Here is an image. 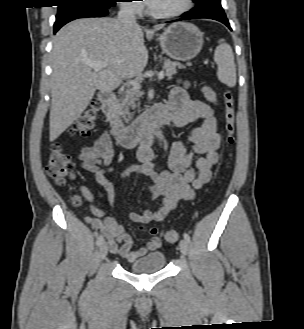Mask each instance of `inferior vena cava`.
Masks as SVG:
<instances>
[{
  "mask_svg": "<svg viewBox=\"0 0 304 329\" xmlns=\"http://www.w3.org/2000/svg\"><path fill=\"white\" fill-rule=\"evenodd\" d=\"M118 21L124 26H137L135 7L129 3L122 4L118 12Z\"/></svg>",
  "mask_w": 304,
  "mask_h": 329,
  "instance_id": "1",
  "label": "inferior vena cava"
}]
</instances>
